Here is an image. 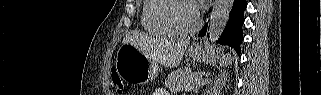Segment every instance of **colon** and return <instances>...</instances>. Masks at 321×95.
Wrapping results in <instances>:
<instances>
[{"instance_id": "5ec220e1", "label": "colon", "mask_w": 321, "mask_h": 95, "mask_svg": "<svg viewBox=\"0 0 321 95\" xmlns=\"http://www.w3.org/2000/svg\"><path fill=\"white\" fill-rule=\"evenodd\" d=\"M111 85L117 94H124L125 85L116 72L111 73Z\"/></svg>"}]
</instances>
